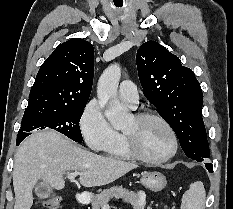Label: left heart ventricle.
<instances>
[{
  "instance_id": "left-heart-ventricle-1",
  "label": "left heart ventricle",
  "mask_w": 233,
  "mask_h": 209,
  "mask_svg": "<svg viewBox=\"0 0 233 209\" xmlns=\"http://www.w3.org/2000/svg\"><path fill=\"white\" fill-rule=\"evenodd\" d=\"M124 132L133 135L139 150L150 158H161L171 149V138L166 128L157 120L137 122L133 117Z\"/></svg>"
}]
</instances>
